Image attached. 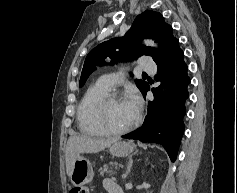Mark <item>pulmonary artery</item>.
<instances>
[{"label":"pulmonary artery","mask_w":237,"mask_h":193,"mask_svg":"<svg viewBox=\"0 0 237 193\" xmlns=\"http://www.w3.org/2000/svg\"><path fill=\"white\" fill-rule=\"evenodd\" d=\"M139 64L142 70L149 73H154L157 69L156 64L151 57L141 59ZM122 78L121 74H105L98 79V82L112 90L121 82Z\"/></svg>","instance_id":"e3ab8cb5"}]
</instances>
